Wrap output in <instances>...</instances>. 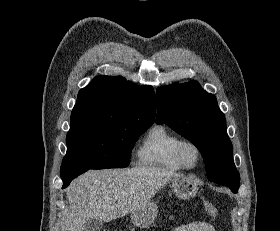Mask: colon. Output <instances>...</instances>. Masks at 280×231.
Here are the masks:
<instances>
[{
    "instance_id": "1",
    "label": "colon",
    "mask_w": 280,
    "mask_h": 231,
    "mask_svg": "<svg viewBox=\"0 0 280 231\" xmlns=\"http://www.w3.org/2000/svg\"><path fill=\"white\" fill-rule=\"evenodd\" d=\"M204 207L205 210L207 211L208 214H210L211 216H216L218 213V210L216 208V206L209 200H205L204 201Z\"/></svg>"
}]
</instances>
